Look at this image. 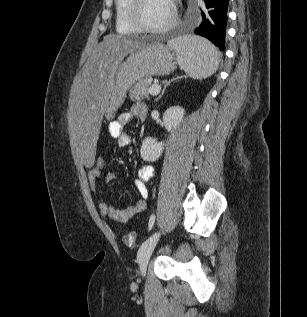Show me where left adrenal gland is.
Masks as SVG:
<instances>
[{"instance_id": "left-adrenal-gland-1", "label": "left adrenal gland", "mask_w": 307, "mask_h": 317, "mask_svg": "<svg viewBox=\"0 0 307 317\" xmlns=\"http://www.w3.org/2000/svg\"><path fill=\"white\" fill-rule=\"evenodd\" d=\"M181 78H183V77H182V76H178V77H176V78L171 79L168 83H166V85L164 86V88H163V90H162V93L156 98L155 101H158L159 99L162 98V96H163L164 93H165L166 88H167L172 82L176 81L177 79H181Z\"/></svg>"}]
</instances>
